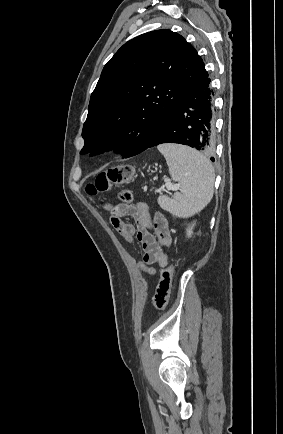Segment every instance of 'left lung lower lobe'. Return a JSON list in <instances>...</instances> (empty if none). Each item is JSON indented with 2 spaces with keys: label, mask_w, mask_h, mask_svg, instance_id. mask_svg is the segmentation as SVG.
<instances>
[{
  "label": "left lung lower lobe",
  "mask_w": 283,
  "mask_h": 434,
  "mask_svg": "<svg viewBox=\"0 0 283 434\" xmlns=\"http://www.w3.org/2000/svg\"><path fill=\"white\" fill-rule=\"evenodd\" d=\"M214 124V92L207 75L179 98L147 148L178 143L212 153L215 146ZM211 160L214 161V158L211 157Z\"/></svg>",
  "instance_id": "obj_1"
}]
</instances>
